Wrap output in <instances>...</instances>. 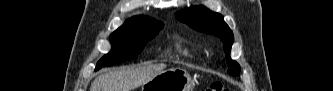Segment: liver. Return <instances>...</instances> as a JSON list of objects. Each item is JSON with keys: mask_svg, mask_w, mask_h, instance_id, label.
Instances as JSON below:
<instances>
[{"mask_svg": "<svg viewBox=\"0 0 333 91\" xmlns=\"http://www.w3.org/2000/svg\"><path fill=\"white\" fill-rule=\"evenodd\" d=\"M166 67L165 64H144L109 71L95 78L90 91H132L164 71Z\"/></svg>", "mask_w": 333, "mask_h": 91, "instance_id": "6515ba94", "label": "liver"}]
</instances>
